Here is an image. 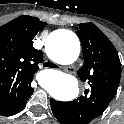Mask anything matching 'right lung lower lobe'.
Wrapping results in <instances>:
<instances>
[{
  "mask_svg": "<svg viewBox=\"0 0 124 124\" xmlns=\"http://www.w3.org/2000/svg\"><path fill=\"white\" fill-rule=\"evenodd\" d=\"M25 105H26V102H24L22 105H20L16 108L0 110V115H3V116L14 115V114L20 112L25 107Z\"/></svg>",
  "mask_w": 124,
  "mask_h": 124,
  "instance_id": "1",
  "label": "right lung lower lobe"
}]
</instances>
